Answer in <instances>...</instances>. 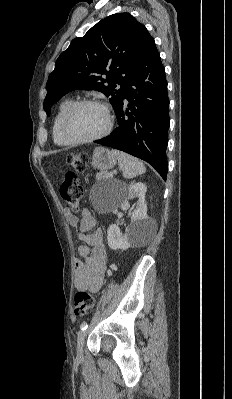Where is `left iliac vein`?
I'll list each match as a JSON object with an SVG mask.
<instances>
[{
    "mask_svg": "<svg viewBox=\"0 0 232 399\" xmlns=\"http://www.w3.org/2000/svg\"><path fill=\"white\" fill-rule=\"evenodd\" d=\"M87 334H88L87 330H84L83 332H78L77 343H76V352L78 356L84 355L83 345Z\"/></svg>",
    "mask_w": 232,
    "mask_h": 399,
    "instance_id": "obj_1",
    "label": "left iliac vein"
}]
</instances>
